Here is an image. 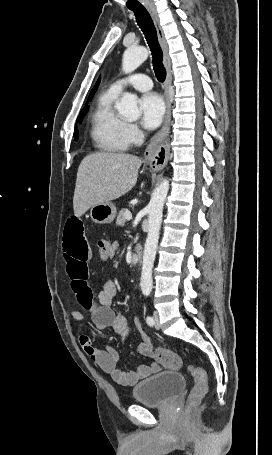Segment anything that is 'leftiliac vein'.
Returning <instances> with one entry per match:
<instances>
[{"label": "left iliac vein", "instance_id": "left-iliac-vein-1", "mask_svg": "<svg viewBox=\"0 0 272 455\" xmlns=\"http://www.w3.org/2000/svg\"><path fill=\"white\" fill-rule=\"evenodd\" d=\"M153 317H154V327L156 329H160L159 314L157 311H154Z\"/></svg>", "mask_w": 272, "mask_h": 455}]
</instances>
